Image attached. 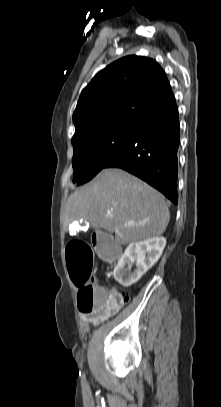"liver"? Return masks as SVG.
I'll list each match as a JSON object with an SVG mask.
<instances>
[{
	"label": "liver",
	"mask_w": 221,
	"mask_h": 407,
	"mask_svg": "<svg viewBox=\"0 0 221 407\" xmlns=\"http://www.w3.org/2000/svg\"><path fill=\"white\" fill-rule=\"evenodd\" d=\"M77 219L115 233L116 242L126 245L162 235L170 214L161 193L126 171L111 168L69 196L67 222Z\"/></svg>",
	"instance_id": "1"
}]
</instances>
